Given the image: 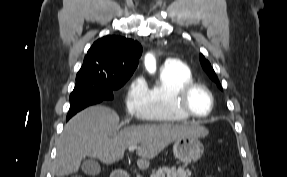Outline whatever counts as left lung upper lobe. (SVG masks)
I'll return each instance as SVG.
<instances>
[{
  "label": "left lung upper lobe",
  "mask_w": 287,
  "mask_h": 177,
  "mask_svg": "<svg viewBox=\"0 0 287 177\" xmlns=\"http://www.w3.org/2000/svg\"><path fill=\"white\" fill-rule=\"evenodd\" d=\"M200 62H201L203 69L207 72L209 77L213 81H215L217 83L218 87L221 89V85L219 83V80H218L212 66L210 65L209 61L204 58V56L202 54H200Z\"/></svg>",
  "instance_id": "1"
}]
</instances>
